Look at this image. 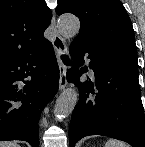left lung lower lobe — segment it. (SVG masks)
Instances as JSON below:
<instances>
[{"label": "left lung lower lobe", "mask_w": 145, "mask_h": 147, "mask_svg": "<svg viewBox=\"0 0 145 147\" xmlns=\"http://www.w3.org/2000/svg\"><path fill=\"white\" fill-rule=\"evenodd\" d=\"M74 67L67 79L80 90L69 128L70 147L89 135H103L145 147V115L138 82L137 53L125 49H97L74 41L69 49ZM90 59L92 81L80 82Z\"/></svg>", "instance_id": "obj_1"}]
</instances>
